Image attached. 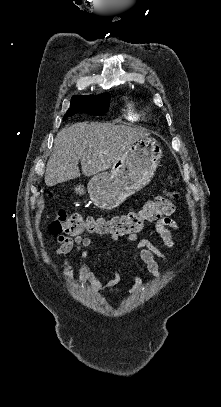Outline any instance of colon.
Masks as SVG:
<instances>
[{
  "mask_svg": "<svg viewBox=\"0 0 221 407\" xmlns=\"http://www.w3.org/2000/svg\"><path fill=\"white\" fill-rule=\"evenodd\" d=\"M178 199V191L174 181L171 182L167 192L146 203L139 211H130L125 214L106 217H86L81 214L60 212L57 218L49 225V233L54 236L68 235L80 236L87 232L89 234H109L111 236H124L139 233L145 224L166 217L174 211Z\"/></svg>",
  "mask_w": 221,
  "mask_h": 407,
  "instance_id": "5ec220e1",
  "label": "colon"
}]
</instances>
